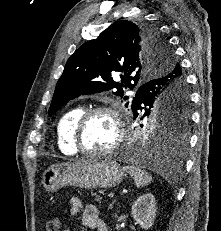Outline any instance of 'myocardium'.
<instances>
[{
    "label": "myocardium",
    "mask_w": 221,
    "mask_h": 231,
    "mask_svg": "<svg viewBox=\"0 0 221 231\" xmlns=\"http://www.w3.org/2000/svg\"><path fill=\"white\" fill-rule=\"evenodd\" d=\"M99 113H104L110 116L116 130V137L114 143L109 148L101 151H90L84 147L82 142L83 129L88 119ZM123 138L124 125L122 123L118 109L111 105H101L91 107L82 112L74 124L72 141L75 149L79 153L92 157H104L115 152L121 146Z\"/></svg>",
    "instance_id": "1"
}]
</instances>
